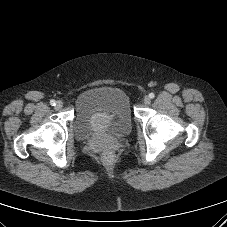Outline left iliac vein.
Wrapping results in <instances>:
<instances>
[{
    "label": "left iliac vein",
    "mask_w": 227,
    "mask_h": 227,
    "mask_svg": "<svg viewBox=\"0 0 227 227\" xmlns=\"http://www.w3.org/2000/svg\"><path fill=\"white\" fill-rule=\"evenodd\" d=\"M143 101H144V104L146 105H149L151 103V99L149 96H145Z\"/></svg>",
    "instance_id": "4c4485c4"
}]
</instances>
